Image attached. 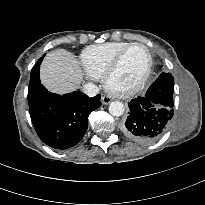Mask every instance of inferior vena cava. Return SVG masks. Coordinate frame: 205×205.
I'll use <instances>...</instances> for the list:
<instances>
[{
    "instance_id": "inferior-vena-cava-1",
    "label": "inferior vena cava",
    "mask_w": 205,
    "mask_h": 205,
    "mask_svg": "<svg viewBox=\"0 0 205 205\" xmlns=\"http://www.w3.org/2000/svg\"><path fill=\"white\" fill-rule=\"evenodd\" d=\"M82 90L89 97H94L99 93L98 86L92 83L85 84Z\"/></svg>"
}]
</instances>
